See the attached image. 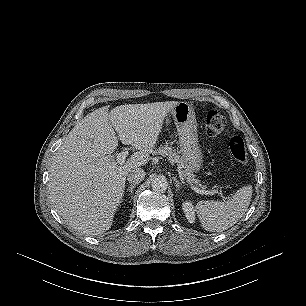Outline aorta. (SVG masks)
Wrapping results in <instances>:
<instances>
[{"label":"aorta","mask_w":306,"mask_h":306,"mask_svg":"<svg viewBox=\"0 0 306 306\" xmlns=\"http://www.w3.org/2000/svg\"><path fill=\"white\" fill-rule=\"evenodd\" d=\"M152 189L156 192H165L168 187L167 179L164 176H157L152 180Z\"/></svg>","instance_id":"obj_1"}]
</instances>
